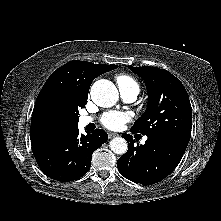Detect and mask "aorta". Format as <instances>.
Instances as JSON below:
<instances>
[{
  "instance_id": "762f6f07",
  "label": "aorta",
  "mask_w": 221,
  "mask_h": 221,
  "mask_svg": "<svg viewBox=\"0 0 221 221\" xmlns=\"http://www.w3.org/2000/svg\"><path fill=\"white\" fill-rule=\"evenodd\" d=\"M91 99L100 107H111L118 100V90L109 80L101 79L96 81L91 87ZM110 149L116 154H124L128 149V144L121 137L113 138L109 143Z\"/></svg>"
}]
</instances>
